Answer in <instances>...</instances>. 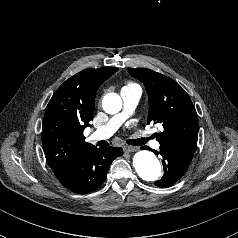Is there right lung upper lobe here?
<instances>
[{"label": "right lung upper lobe", "instance_id": "obj_1", "mask_svg": "<svg viewBox=\"0 0 238 238\" xmlns=\"http://www.w3.org/2000/svg\"><path fill=\"white\" fill-rule=\"evenodd\" d=\"M118 68H90L66 80L49 101L42 125L46 160L57 176L95 146L83 131L93 117L96 91Z\"/></svg>", "mask_w": 238, "mask_h": 238}]
</instances>
